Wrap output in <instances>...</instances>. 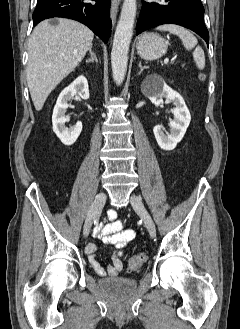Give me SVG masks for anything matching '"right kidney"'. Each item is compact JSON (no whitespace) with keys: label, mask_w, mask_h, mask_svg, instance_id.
I'll return each mask as SVG.
<instances>
[{"label":"right kidney","mask_w":240,"mask_h":329,"mask_svg":"<svg viewBox=\"0 0 240 329\" xmlns=\"http://www.w3.org/2000/svg\"><path fill=\"white\" fill-rule=\"evenodd\" d=\"M75 95H78L84 100L89 98L88 82L84 76H79L60 93L53 110V131L66 146L72 145L82 131V122L80 121L76 123L71 131L65 126V123L69 120L68 116L65 115L66 109L69 106L68 102L72 100Z\"/></svg>","instance_id":"right-kidney-1"}]
</instances>
